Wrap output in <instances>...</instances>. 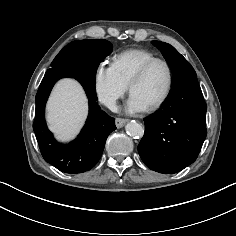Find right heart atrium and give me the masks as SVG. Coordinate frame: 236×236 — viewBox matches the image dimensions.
<instances>
[{"label":"right heart atrium","mask_w":236,"mask_h":236,"mask_svg":"<svg viewBox=\"0 0 236 236\" xmlns=\"http://www.w3.org/2000/svg\"><path fill=\"white\" fill-rule=\"evenodd\" d=\"M93 88L98 99L110 109H115L119 99L128 91L112 65L101 63L93 73Z\"/></svg>","instance_id":"1"}]
</instances>
